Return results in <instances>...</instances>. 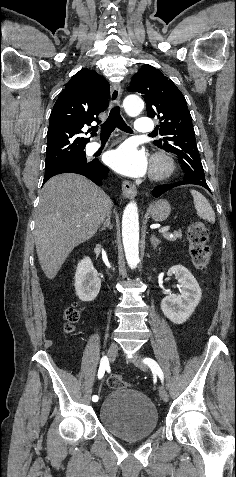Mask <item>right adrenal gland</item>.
<instances>
[{"label":"right adrenal gland","mask_w":236,"mask_h":477,"mask_svg":"<svg viewBox=\"0 0 236 477\" xmlns=\"http://www.w3.org/2000/svg\"><path fill=\"white\" fill-rule=\"evenodd\" d=\"M107 228L112 229L111 214L107 216L105 222L103 223V226L99 229V231L106 230Z\"/></svg>","instance_id":"2a0ac1e0"}]
</instances>
